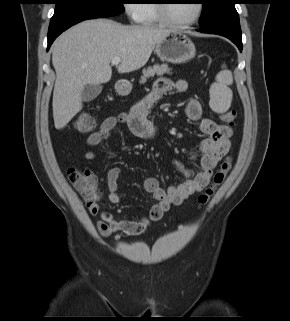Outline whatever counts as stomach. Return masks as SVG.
I'll return each mask as SVG.
<instances>
[{"label": "stomach", "instance_id": "obj_1", "mask_svg": "<svg viewBox=\"0 0 290 321\" xmlns=\"http://www.w3.org/2000/svg\"><path fill=\"white\" fill-rule=\"evenodd\" d=\"M155 52L162 61L181 64L193 59L196 49L186 34L171 31L156 45ZM115 89L119 95H127L132 90V84L119 82L115 85Z\"/></svg>", "mask_w": 290, "mask_h": 321}]
</instances>
